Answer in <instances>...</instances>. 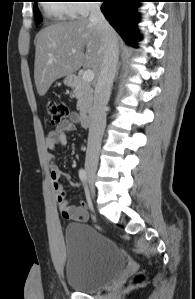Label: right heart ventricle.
I'll return each instance as SVG.
<instances>
[{
    "mask_svg": "<svg viewBox=\"0 0 195 299\" xmlns=\"http://www.w3.org/2000/svg\"><path fill=\"white\" fill-rule=\"evenodd\" d=\"M46 12L50 17L58 21L73 16V9L71 3H64V2L49 3L46 5Z\"/></svg>",
    "mask_w": 195,
    "mask_h": 299,
    "instance_id": "e07e8e85",
    "label": "right heart ventricle"
}]
</instances>
